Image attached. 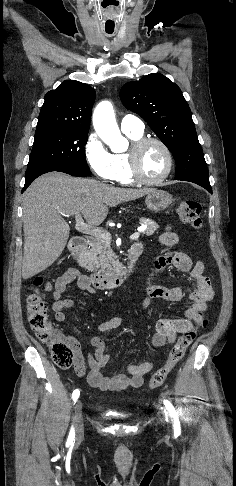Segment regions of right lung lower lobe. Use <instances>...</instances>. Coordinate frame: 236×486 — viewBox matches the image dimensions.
Masks as SVG:
<instances>
[{"mask_svg":"<svg viewBox=\"0 0 236 486\" xmlns=\"http://www.w3.org/2000/svg\"><path fill=\"white\" fill-rule=\"evenodd\" d=\"M51 171H59L70 174L72 176L77 177H85L91 174L90 170L88 169H80V168H73V167H66V166H55V165H37L33 167H29L25 173V185L22 189V193L27 189V187L32 183L34 179L38 176L51 172Z\"/></svg>","mask_w":236,"mask_h":486,"instance_id":"right-lung-lower-lobe-1","label":"right lung lower lobe"}]
</instances>
